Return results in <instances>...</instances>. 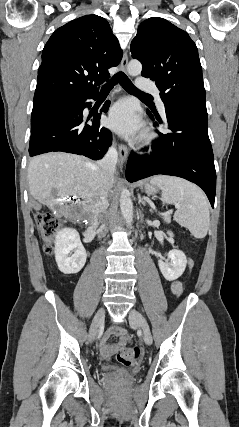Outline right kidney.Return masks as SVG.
<instances>
[{
    "label": "right kidney",
    "instance_id": "right-kidney-1",
    "mask_svg": "<svg viewBox=\"0 0 239 427\" xmlns=\"http://www.w3.org/2000/svg\"><path fill=\"white\" fill-rule=\"evenodd\" d=\"M87 253L79 233L72 228L60 230L55 236V259L64 274H76L85 265Z\"/></svg>",
    "mask_w": 239,
    "mask_h": 427
}]
</instances>
